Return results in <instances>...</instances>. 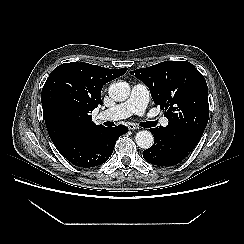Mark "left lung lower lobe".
Segmentation results:
<instances>
[{
    "label": "left lung lower lobe",
    "instance_id": "obj_1",
    "mask_svg": "<svg viewBox=\"0 0 244 244\" xmlns=\"http://www.w3.org/2000/svg\"><path fill=\"white\" fill-rule=\"evenodd\" d=\"M154 144L143 151L144 159L157 166H173L183 161L195 148L181 137L163 130L162 126L151 129Z\"/></svg>",
    "mask_w": 244,
    "mask_h": 244
}]
</instances>
